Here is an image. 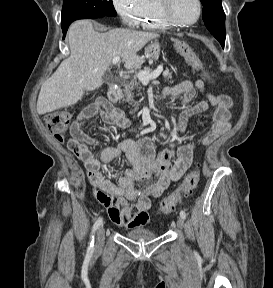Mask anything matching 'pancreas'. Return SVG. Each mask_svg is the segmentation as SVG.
Instances as JSON below:
<instances>
[{
    "label": "pancreas",
    "mask_w": 273,
    "mask_h": 288,
    "mask_svg": "<svg viewBox=\"0 0 273 288\" xmlns=\"http://www.w3.org/2000/svg\"><path fill=\"white\" fill-rule=\"evenodd\" d=\"M141 71H146V72L150 73V72H152V69H150L149 67H144L143 70H141ZM136 78H137V74L135 75L133 80L124 84V89H123V92H124L123 102H128V103L132 104L135 107V110L138 109V103H136L133 99L134 95H135L134 91L138 92V93H136L137 96L142 95V93L140 92L142 87ZM163 78L165 81H167L169 83H173L172 72H170L169 69H166L163 72Z\"/></svg>",
    "instance_id": "pancreas-1"
}]
</instances>
